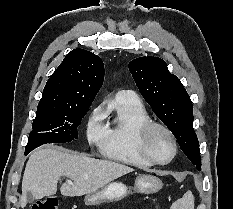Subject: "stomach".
<instances>
[{
  "mask_svg": "<svg viewBox=\"0 0 233 209\" xmlns=\"http://www.w3.org/2000/svg\"><path fill=\"white\" fill-rule=\"evenodd\" d=\"M162 181L151 174L137 176L133 190L140 194H153L162 188ZM129 194L127 186L122 182H111L96 192L87 194L84 202L88 206H97L107 202L121 200Z\"/></svg>",
  "mask_w": 233,
  "mask_h": 209,
  "instance_id": "1",
  "label": "stomach"
}]
</instances>
